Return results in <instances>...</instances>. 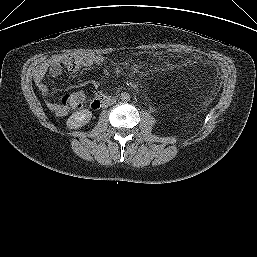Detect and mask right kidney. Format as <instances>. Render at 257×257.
Masks as SVG:
<instances>
[{"label":"right kidney","mask_w":257,"mask_h":257,"mask_svg":"<svg viewBox=\"0 0 257 257\" xmlns=\"http://www.w3.org/2000/svg\"><path fill=\"white\" fill-rule=\"evenodd\" d=\"M92 118V112L88 109L79 110L73 113L67 120L66 125L69 129L81 128Z\"/></svg>","instance_id":"1"}]
</instances>
